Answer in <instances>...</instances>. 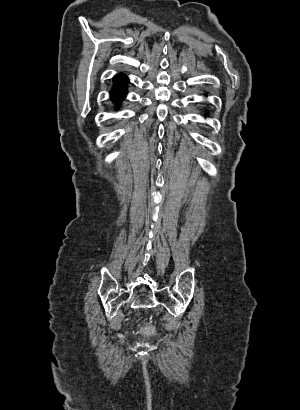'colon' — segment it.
I'll return each instance as SVG.
<instances>
[{"label": "colon", "mask_w": 300, "mask_h": 410, "mask_svg": "<svg viewBox=\"0 0 300 410\" xmlns=\"http://www.w3.org/2000/svg\"><path fill=\"white\" fill-rule=\"evenodd\" d=\"M144 331H145V333L148 334V335L154 334V329L151 328V327H149V326H146V327L144 328Z\"/></svg>", "instance_id": "obj_1"}]
</instances>
